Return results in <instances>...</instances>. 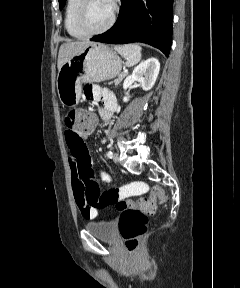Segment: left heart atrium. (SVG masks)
Returning <instances> with one entry per match:
<instances>
[{"label":"left heart atrium","mask_w":240,"mask_h":288,"mask_svg":"<svg viewBox=\"0 0 240 288\" xmlns=\"http://www.w3.org/2000/svg\"><path fill=\"white\" fill-rule=\"evenodd\" d=\"M107 1H109V2L112 4V1H113V0H107Z\"/></svg>","instance_id":"obj_1"}]
</instances>
